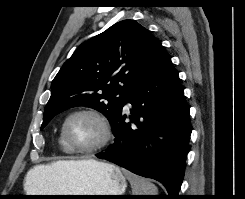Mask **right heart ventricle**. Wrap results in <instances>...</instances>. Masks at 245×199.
<instances>
[{
    "label": "right heart ventricle",
    "instance_id": "right-heart-ventricle-1",
    "mask_svg": "<svg viewBox=\"0 0 245 199\" xmlns=\"http://www.w3.org/2000/svg\"><path fill=\"white\" fill-rule=\"evenodd\" d=\"M58 144H59V146H60V148L62 149L63 152H65L67 154H72L73 153L70 150V148L68 147V145L66 144V142L64 141L62 133H60L59 136H58Z\"/></svg>",
    "mask_w": 245,
    "mask_h": 199
}]
</instances>
